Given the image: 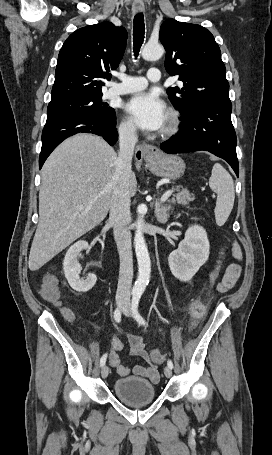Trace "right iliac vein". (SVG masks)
<instances>
[{"instance_id": "1", "label": "right iliac vein", "mask_w": 272, "mask_h": 455, "mask_svg": "<svg viewBox=\"0 0 272 455\" xmlns=\"http://www.w3.org/2000/svg\"><path fill=\"white\" fill-rule=\"evenodd\" d=\"M124 304H125L124 299L120 298V299L117 300V305H118L119 307L124 306ZM108 374H109V368H108L107 365H104V366L102 367V370H101L102 378H104V379L107 378Z\"/></svg>"}]
</instances>
